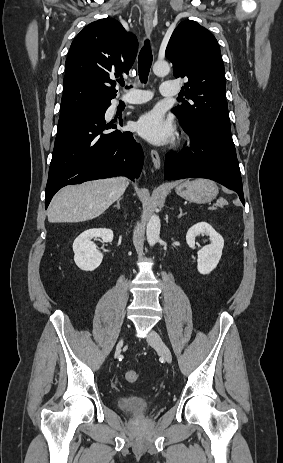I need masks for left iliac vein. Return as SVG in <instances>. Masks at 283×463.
<instances>
[{
    "mask_svg": "<svg viewBox=\"0 0 283 463\" xmlns=\"http://www.w3.org/2000/svg\"><path fill=\"white\" fill-rule=\"evenodd\" d=\"M147 342L155 348L162 357L168 362H172V354L168 346L162 340L160 335L156 331H151L149 337L147 338Z\"/></svg>",
    "mask_w": 283,
    "mask_h": 463,
    "instance_id": "4c4485c4",
    "label": "left iliac vein"
}]
</instances>
